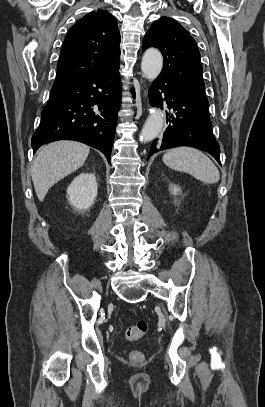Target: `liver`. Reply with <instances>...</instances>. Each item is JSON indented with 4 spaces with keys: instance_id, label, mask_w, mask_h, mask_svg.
Returning a JSON list of instances; mask_svg holds the SVG:
<instances>
[{
    "instance_id": "1",
    "label": "liver",
    "mask_w": 265,
    "mask_h": 407,
    "mask_svg": "<svg viewBox=\"0 0 265 407\" xmlns=\"http://www.w3.org/2000/svg\"><path fill=\"white\" fill-rule=\"evenodd\" d=\"M89 151L87 145L67 140L42 147L34 160L31 173L38 199L43 201L54 184L80 168Z\"/></svg>"
}]
</instances>
